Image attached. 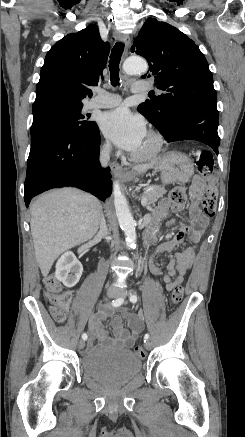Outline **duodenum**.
Returning <instances> with one entry per match:
<instances>
[{
	"mask_svg": "<svg viewBox=\"0 0 245 437\" xmlns=\"http://www.w3.org/2000/svg\"><path fill=\"white\" fill-rule=\"evenodd\" d=\"M153 238H154V236H153V234H152V232H150L149 230L146 232V234H145V242H146V244L147 245H150L151 243H152V241H153Z\"/></svg>",
	"mask_w": 245,
	"mask_h": 437,
	"instance_id": "obj_1",
	"label": "duodenum"
}]
</instances>
